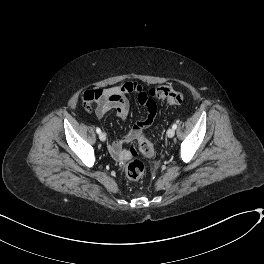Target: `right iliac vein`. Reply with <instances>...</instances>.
Masks as SVG:
<instances>
[{"label":"right iliac vein","mask_w":264,"mask_h":264,"mask_svg":"<svg viewBox=\"0 0 264 264\" xmlns=\"http://www.w3.org/2000/svg\"><path fill=\"white\" fill-rule=\"evenodd\" d=\"M99 139L101 140V141H105L106 140V135H105V133H100L99 134Z\"/></svg>","instance_id":"right-iliac-vein-1"}]
</instances>
